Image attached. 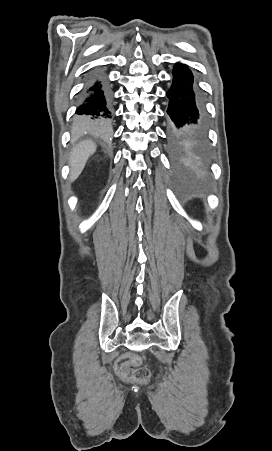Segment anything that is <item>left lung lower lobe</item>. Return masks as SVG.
I'll return each mask as SVG.
<instances>
[{
  "instance_id": "left-lung-lower-lobe-1",
  "label": "left lung lower lobe",
  "mask_w": 272,
  "mask_h": 451,
  "mask_svg": "<svg viewBox=\"0 0 272 451\" xmlns=\"http://www.w3.org/2000/svg\"><path fill=\"white\" fill-rule=\"evenodd\" d=\"M171 87L167 91L168 137L173 159L180 165H203L202 106L198 87L191 69L174 64Z\"/></svg>"
}]
</instances>
